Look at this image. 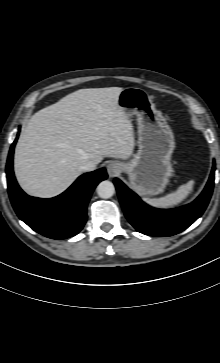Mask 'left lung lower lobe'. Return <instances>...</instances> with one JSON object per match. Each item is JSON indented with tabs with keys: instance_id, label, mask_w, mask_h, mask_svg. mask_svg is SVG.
<instances>
[{
	"instance_id": "1",
	"label": "left lung lower lobe",
	"mask_w": 220,
	"mask_h": 363,
	"mask_svg": "<svg viewBox=\"0 0 220 363\" xmlns=\"http://www.w3.org/2000/svg\"><path fill=\"white\" fill-rule=\"evenodd\" d=\"M215 163L200 196L188 206L176 210H158L146 205L119 179L114 180L120 203L128 221L150 236H172L188 228L206 209L214 187Z\"/></svg>"
}]
</instances>
